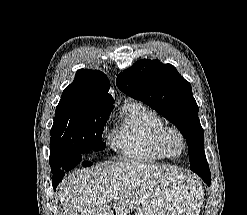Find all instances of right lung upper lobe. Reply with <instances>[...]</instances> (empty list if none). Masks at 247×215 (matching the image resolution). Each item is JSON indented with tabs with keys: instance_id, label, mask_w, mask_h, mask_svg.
<instances>
[{
	"instance_id": "cb5924a9",
	"label": "right lung upper lobe",
	"mask_w": 247,
	"mask_h": 215,
	"mask_svg": "<svg viewBox=\"0 0 247 215\" xmlns=\"http://www.w3.org/2000/svg\"><path fill=\"white\" fill-rule=\"evenodd\" d=\"M110 82L107 76L98 71L80 69L75 79L63 93H72L85 103L112 109L114 99L108 94Z\"/></svg>"
}]
</instances>
